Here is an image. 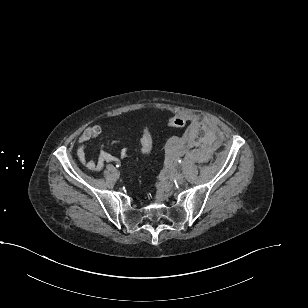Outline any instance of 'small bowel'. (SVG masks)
<instances>
[{"instance_id": "obj_1", "label": "small bowel", "mask_w": 308, "mask_h": 308, "mask_svg": "<svg viewBox=\"0 0 308 308\" xmlns=\"http://www.w3.org/2000/svg\"><path fill=\"white\" fill-rule=\"evenodd\" d=\"M101 133V126L94 124L87 127L78 138L79 147L77 149V157L80 163L89 171L99 172L103 169L106 163L117 161L116 157L106 152H101L97 160H93L87 156V145L92 139L98 137ZM121 156H126V152L122 151Z\"/></svg>"}]
</instances>
